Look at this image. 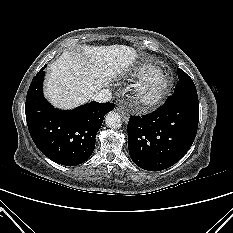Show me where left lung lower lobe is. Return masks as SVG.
<instances>
[{
    "label": "left lung lower lobe",
    "mask_w": 233,
    "mask_h": 233,
    "mask_svg": "<svg viewBox=\"0 0 233 233\" xmlns=\"http://www.w3.org/2000/svg\"><path fill=\"white\" fill-rule=\"evenodd\" d=\"M198 120V98L177 101L172 96L153 113L131 116L127 125L130 157L149 171L174 165L191 147Z\"/></svg>",
    "instance_id": "1"
}]
</instances>
